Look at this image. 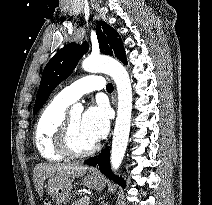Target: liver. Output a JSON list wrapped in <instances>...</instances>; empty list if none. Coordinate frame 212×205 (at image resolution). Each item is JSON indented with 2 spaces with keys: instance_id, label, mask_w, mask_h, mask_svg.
I'll return each instance as SVG.
<instances>
[{
  "instance_id": "obj_1",
  "label": "liver",
  "mask_w": 212,
  "mask_h": 205,
  "mask_svg": "<svg viewBox=\"0 0 212 205\" xmlns=\"http://www.w3.org/2000/svg\"><path fill=\"white\" fill-rule=\"evenodd\" d=\"M88 166L79 164H39L34 168V184L40 197L43 195V183L46 178H75L83 176Z\"/></svg>"
}]
</instances>
